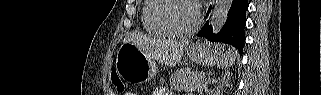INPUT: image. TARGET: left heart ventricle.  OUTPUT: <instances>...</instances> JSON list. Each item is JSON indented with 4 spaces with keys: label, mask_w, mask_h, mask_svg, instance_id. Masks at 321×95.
<instances>
[{
    "label": "left heart ventricle",
    "mask_w": 321,
    "mask_h": 95,
    "mask_svg": "<svg viewBox=\"0 0 321 95\" xmlns=\"http://www.w3.org/2000/svg\"><path fill=\"white\" fill-rule=\"evenodd\" d=\"M162 16L171 26L182 31L190 29L195 23L194 9L184 1L171 2Z\"/></svg>",
    "instance_id": "obj_1"
}]
</instances>
